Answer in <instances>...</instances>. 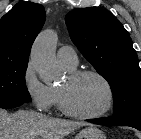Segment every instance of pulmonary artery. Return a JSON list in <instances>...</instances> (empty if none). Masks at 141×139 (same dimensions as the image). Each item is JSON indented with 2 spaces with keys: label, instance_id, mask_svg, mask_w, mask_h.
I'll return each instance as SVG.
<instances>
[{
  "label": "pulmonary artery",
  "instance_id": "e3ab8cb5",
  "mask_svg": "<svg viewBox=\"0 0 141 139\" xmlns=\"http://www.w3.org/2000/svg\"><path fill=\"white\" fill-rule=\"evenodd\" d=\"M57 60L61 65L70 68H74L78 64L77 54L70 46H62L58 49Z\"/></svg>",
  "mask_w": 141,
  "mask_h": 139
}]
</instances>
